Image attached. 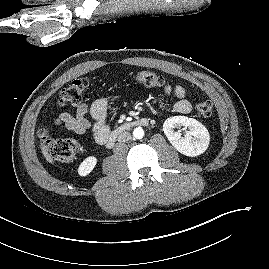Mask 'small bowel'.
<instances>
[{
	"instance_id": "c3829d8e",
	"label": "small bowel",
	"mask_w": 269,
	"mask_h": 269,
	"mask_svg": "<svg viewBox=\"0 0 269 269\" xmlns=\"http://www.w3.org/2000/svg\"><path fill=\"white\" fill-rule=\"evenodd\" d=\"M167 95H174L177 101L173 105V111L177 114H188L191 111V104L185 97V89L181 85L165 88ZM108 102L104 98L97 99L89 107L86 103H79L75 115L67 112H61L56 118V123L72 131L75 134H85L92 131L94 140L99 144L106 142L109 134L107 124ZM90 113L92 120L87 118Z\"/></svg>"
}]
</instances>
